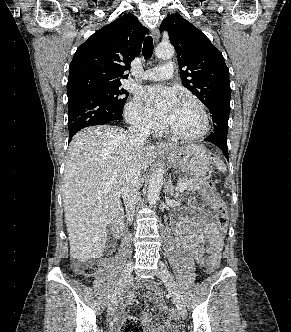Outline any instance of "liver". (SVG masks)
Here are the masks:
<instances>
[{
  "label": "liver",
  "mask_w": 291,
  "mask_h": 332,
  "mask_svg": "<svg viewBox=\"0 0 291 332\" xmlns=\"http://www.w3.org/2000/svg\"><path fill=\"white\" fill-rule=\"evenodd\" d=\"M129 133L116 126L84 128L71 140L62 182L70 257L85 262L99 258L107 226L121 208V179ZM156 149L143 146L141 169L147 170Z\"/></svg>",
  "instance_id": "liver-1"
}]
</instances>
